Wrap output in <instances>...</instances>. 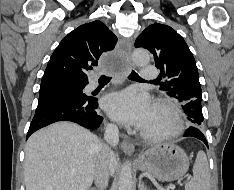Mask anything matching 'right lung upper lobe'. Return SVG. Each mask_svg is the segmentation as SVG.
Returning a JSON list of instances; mask_svg holds the SVG:
<instances>
[{
    "mask_svg": "<svg viewBox=\"0 0 234 190\" xmlns=\"http://www.w3.org/2000/svg\"><path fill=\"white\" fill-rule=\"evenodd\" d=\"M117 37L101 21L83 24L62 39L53 52L42 81L88 79L99 58L113 50Z\"/></svg>",
    "mask_w": 234,
    "mask_h": 190,
    "instance_id": "cb5924a9",
    "label": "right lung upper lobe"
}]
</instances>
